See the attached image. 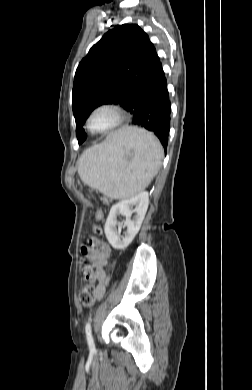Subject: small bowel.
Instances as JSON below:
<instances>
[{"instance_id":"c3829d8e","label":"small bowel","mask_w":252,"mask_h":390,"mask_svg":"<svg viewBox=\"0 0 252 390\" xmlns=\"http://www.w3.org/2000/svg\"><path fill=\"white\" fill-rule=\"evenodd\" d=\"M81 254L93 266L86 265V269L90 272V279L97 282L96 285V299L100 301L106 290V286L110 281L109 275L105 271L110 258V248L105 243L96 238L89 239V245L81 246Z\"/></svg>"}]
</instances>
